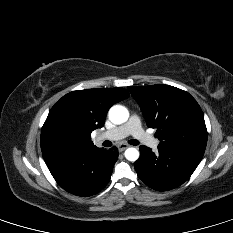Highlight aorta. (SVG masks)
Returning <instances> with one entry per match:
<instances>
[{"label":"aorta","mask_w":233,"mask_h":233,"mask_svg":"<svg viewBox=\"0 0 233 233\" xmlns=\"http://www.w3.org/2000/svg\"><path fill=\"white\" fill-rule=\"evenodd\" d=\"M109 119L114 124H122L129 118V112L127 108L122 105H114L109 110ZM125 157L129 161H136L139 158V151L136 148H128L125 151Z\"/></svg>","instance_id":"obj_1"}]
</instances>
